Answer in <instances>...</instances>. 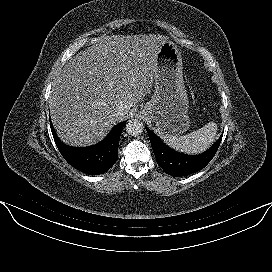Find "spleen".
Instances as JSON below:
<instances>
[{"instance_id":"spleen-1","label":"spleen","mask_w":272,"mask_h":272,"mask_svg":"<svg viewBox=\"0 0 272 272\" xmlns=\"http://www.w3.org/2000/svg\"><path fill=\"white\" fill-rule=\"evenodd\" d=\"M217 133V124L209 122L202 128L184 136H164V141L172 148L188 154L200 153L214 142Z\"/></svg>"}]
</instances>
